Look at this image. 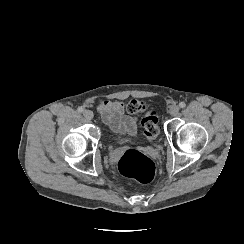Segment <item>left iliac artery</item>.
Instances as JSON below:
<instances>
[{
	"mask_svg": "<svg viewBox=\"0 0 244 244\" xmlns=\"http://www.w3.org/2000/svg\"><path fill=\"white\" fill-rule=\"evenodd\" d=\"M185 106H186L185 102H180V103H179V107H180V108H184Z\"/></svg>",
	"mask_w": 244,
	"mask_h": 244,
	"instance_id": "1",
	"label": "left iliac artery"
}]
</instances>
